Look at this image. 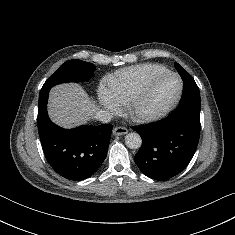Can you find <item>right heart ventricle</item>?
Instances as JSON below:
<instances>
[{
  "mask_svg": "<svg viewBox=\"0 0 235 235\" xmlns=\"http://www.w3.org/2000/svg\"><path fill=\"white\" fill-rule=\"evenodd\" d=\"M165 71L166 67L151 63L120 69L107 78L108 93L117 104L127 106L151 76Z\"/></svg>",
  "mask_w": 235,
  "mask_h": 235,
  "instance_id": "e07e8e85",
  "label": "right heart ventricle"
}]
</instances>
